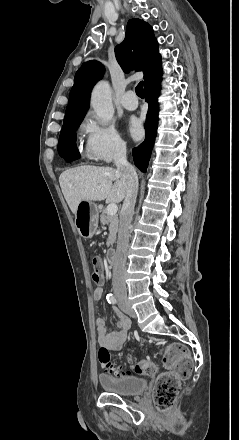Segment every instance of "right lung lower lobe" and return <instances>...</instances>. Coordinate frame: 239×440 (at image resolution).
<instances>
[{"label":"right lung lower lobe","mask_w":239,"mask_h":440,"mask_svg":"<svg viewBox=\"0 0 239 440\" xmlns=\"http://www.w3.org/2000/svg\"><path fill=\"white\" fill-rule=\"evenodd\" d=\"M162 69L155 75L148 78L145 84V99L149 104L145 128V140L137 147L132 149L133 160L135 165L146 172L149 159L151 156L154 140L156 137V130L158 125V103L157 97L159 96L161 82ZM67 162H71L79 158V152L76 147L65 150L61 154Z\"/></svg>","instance_id":"1"}]
</instances>
